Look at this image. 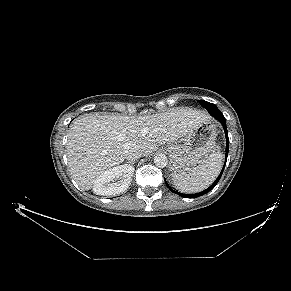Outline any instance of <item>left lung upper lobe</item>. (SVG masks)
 <instances>
[{"mask_svg": "<svg viewBox=\"0 0 291 291\" xmlns=\"http://www.w3.org/2000/svg\"><path fill=\"white\" fill-rule=\"evenodd\" d=\"M200 104L207 109V111L212 114L213 112H218L220 111L214 104L209 103L207 101L204 100H200Z\"/></svg>", "mask_w": 291, "mask_h": 291, "instance_id": "left-lung-upper-lobe-1", "label": "left lung upper lobe"}]
</instances>
